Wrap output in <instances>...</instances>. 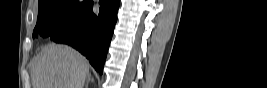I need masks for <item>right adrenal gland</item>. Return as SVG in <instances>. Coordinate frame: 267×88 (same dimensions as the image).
<instances>
[{
  "label": "right adrenal gland",
  "mask_w": 267,
  "mask_h": 88,
  "mask_svg": "<svg viewBox=\"0 0 267 88\" xmlns=\"http://www.w3.org/2000/svg\"><path fill=\"white\" fill-rule=\"evenodd\" d=\"M90 81H94V79L91 77V73H88V75H87V80H86V84H85V88H88V83L90 82Z\"/></svg>",
  "instance_id": "right-adrenal-gland-1"
}]
</instances>
